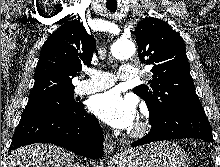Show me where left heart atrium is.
I'll use <instances>...</instances> for the list:
<instances>
[{"label": "left heart atrium", "mask_w": 220, "mask_h": 167, "mask_svg": "<svg viewBox=\"0 0 220 167\" xmlns=\"http://www.w3.org/2000/svg\"><path fill=\"white\" fill-rule=\"evenodd\" d=\"M90 111L108 125L125 129L136 118V102L130 96H122L116 90H110L94 96L89 103Z\"/></svg>", "instance_id": "1"}]
</instances>
